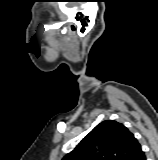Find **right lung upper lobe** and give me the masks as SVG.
Listing matches in <instances>:
<instances>
[{"mask_svg":"<svg viewBox=\"0 0 158 160\" xmlns=\"http://www.w3.org/2000/svg\"><path fill=\"white\" fill-rule=\"evenodd\" d=\"M140 152L138 140L123 124L106 120L62 160H133Z\"/></svg>","mask_w":158,"mask_h":160,"instance_id":"cb5924a9","label":"right lung upper lobe"}]
</instances>
